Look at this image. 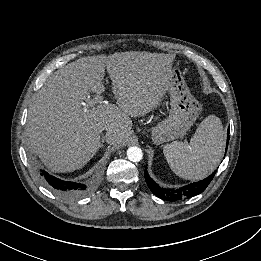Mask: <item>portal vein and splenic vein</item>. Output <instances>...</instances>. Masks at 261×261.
Listing matches in <instances>:
<instances>
[{
	"label": "portal vein and splenic vein",
	"mask_w": 261,
	"mask_h": 261,
	"mask_svg": "<svg viewBox=\"0 0 261 261\" xmlns=\"http://www.w3.org/2000/svg\"><path fill=\"white\" fill-rule=\"evenodd\" d=\"M103 100H104V99H103L102 96H96V97L93 98V99L88 98L87 103H88L89 106L94 107V106L97 105V104L104 103Z\"/></svg>",
	"instance_id": "18ae733b"
}]
</instances>
